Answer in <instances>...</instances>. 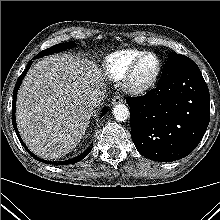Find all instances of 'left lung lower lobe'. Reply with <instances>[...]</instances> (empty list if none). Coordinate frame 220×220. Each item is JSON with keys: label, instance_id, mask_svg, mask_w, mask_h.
I'll list each match as a JSON object with an SVG mask.
<instances>
[{"label": "left lung lower lobe", "instance_id": "left-lung-lower-lobe-1", "mask_svg": "<svg viewBox=\"0 0 220 220\" xmlns=\"http://www.w3.org/2000/svg\"><path fill=\"white\" fill-rule=\"evenodd\" d=\"M131 137L148 159L170 162L189 155L210 120V96L197 64L186 57L168 59L158 86L127 99Z\"/></svg>", "mask_w": 220, "mask_h": 220}]
</instances>
